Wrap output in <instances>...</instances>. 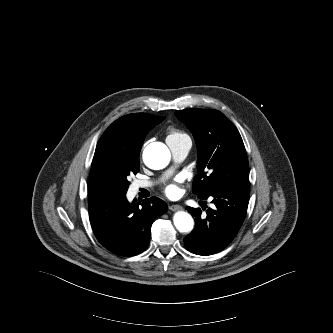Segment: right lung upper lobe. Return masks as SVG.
<instances>
[{"label": "right lung upper lobe", "instance_id": "1", "mask_svg": "<svg viewBox=\"0 0 333 333\" xmlns=\"http://www.w3.org/2000/svg\"><path fill=\"white\" fill-rule=\"evenodd\" d=\"M163 120L160 116L134 113L119 118L106 129L91 165L90 199L116 196L112 160L122 152L140 151L147 132Z\"/></svg>", "mask_w": 333, "mask_h": 333}]
</instances>
